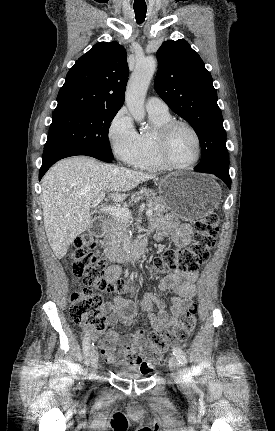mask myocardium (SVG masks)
<instances>
[{"label": "myocardium", "instance_id": "myocardium-1", "mask_svg": "<svg viewBox=\"0 0 275 431\" xmlns=\"http://www.w3.org/2000/svg\"><path fill=\"white\" fill-rule=\"evenodd\" d=\"M187 128L194 136L196 141V156L189 164L181 165L175 163L169 154V144L171 136L177 127ZM156 151L161 162L169 169L186 170L194 167L200 160L202 154V142L199 133L189 122L184 120L172 119L161 126L155 134Z\"/></svg>", "mask_w": 275, "mask_h": 431}]
</instances>
